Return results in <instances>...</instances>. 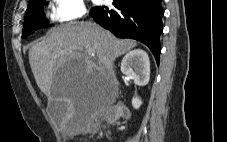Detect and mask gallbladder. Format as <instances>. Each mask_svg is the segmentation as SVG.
Masks as SVG:
<instances>
[{
    "label": "gallbladder",
    "mask_w": 227,
    "mask_h": 142,
    "mask_svg": "<svg viewBox=\"0 0 227 142\" xmlns=\"http://www.w3.org/2000/svg\"><path fill=\"white\" fill-rule=\"evenodd\" d=\"M47 111L49 117L59 123L64 117L67 116L68 105L63 101H52L49 103Z\"/></svg>",
    "instance_id": "1"
}]
</instances>
